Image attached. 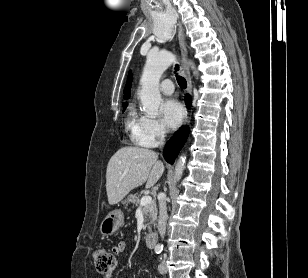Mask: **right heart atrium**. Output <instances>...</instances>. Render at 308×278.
<instances>
[{
	"label": "right heart atrium",
	"instance_id": "right-heart-atrium-1",
	"mask_svg": "<svg viewBox=\"0 0 308 278\" xmlns=\"http://www.w3.org/2000/svg\"><path fill=\"white\" fill-rule=\"evenodd\" d=\"M167 135L164 124L154 118L144 117L140 135V143L145 147H155L159 145Z\"/></svg>",
	"mask_w": 308,
	"mask_h": 278
}]
</instances>
